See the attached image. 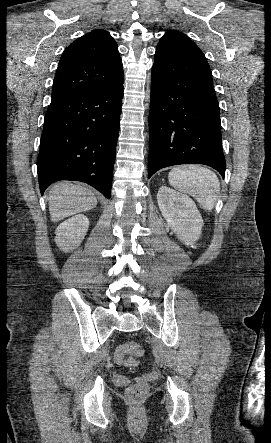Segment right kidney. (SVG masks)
Returning a JSON list of instances; mask_svg holds the SVG:
<instances>
[{
    "mask_svg": "<svg viewBox=\"0 0 271 443\" xmlns=\"http://www.w3.org/2000/svg\"><path fill=\"white\" fill-rule=\"evenodd\" d=\"M89 227V220L84 214L72 216L69 220L59 223L55 229V241L63 251L75 249L80 245Z\"/></svg>",
    "mask_w": 271,
    "mask_h": 443,
    "instance_id": "1",
    "label": "right kidney"
}]
</instances>
